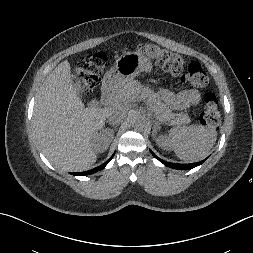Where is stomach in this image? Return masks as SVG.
<instances>
[{
    "mask_svg": "<svg viewBox=\"0 0 253 253\" xmlns=\"http://www.w3.org/2000/svg\"><path fill=\"white\" fill-rule=\"evenodd\" d=\"M152 63L149 58L139 52H127L121 55L115 65L105 74L103 86L116 90L131 81L140 72H151Z\"/></svg>",
    "mask_w": 253,
    "mask_h": 253,
    "instance_id": "obj_1",
    "label": "stomach"
}]
</instances>
